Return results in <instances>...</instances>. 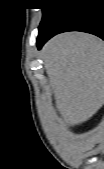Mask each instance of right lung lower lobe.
<instances>
[{
  "label": "right lung lower lobe",
  "instance_id": "1",
  "mask_svg": "<svg viewBox=\"0 0 104 169\" xmlns=\"http://www.w3.org/2000/svg\"><path fill=\"white\" fill-rule=\"evenodd\" d=\"M66 31H82L104 39V0H69L38 32L40 49L54 35Z\"/></svg>",
  "mask_w": 104,
  "mask_h": 169
}]
</instances>
